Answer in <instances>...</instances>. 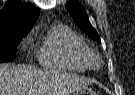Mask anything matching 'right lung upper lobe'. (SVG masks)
Wrapping results in <instances>:
<instances>
[{
  "label": "right lung upper lobe",
  "instance_id": "right-lung-upper-lobe-1",
  "mask_svg": "<svg viewBox=\"0 0 135 95\" xmlns=\"http://www.w3.org/2000/svg\"><path fill=\"white\" fill-rule=\"evenodd\" d=\"M39 11L30 3L8 0L0 12V35L15 31H30Z\"/></svg>",
  "mask_w": 135,
  "mask_h": 95
}]
</instances>
